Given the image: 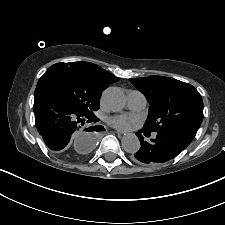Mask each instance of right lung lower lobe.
<instances>
[{
	"instance_id": "right-lung-lower-lobe-1",
	"label": "right lung lower lobe",
	"mask_w": 225,
	"mask_h": 225,
	"mask_svg": "<svg viewBox=\"0 0 225 225\" xmlns=\"http://www.w3.org/2000/svg\"><path fill=\"white\" fill-rule=\"evenodd\" d=\"M33 111L35 125L45 144L53 151L63 153L70 146L73 137L88 122H97V117H88L59 96L43 88H36ZM101 126L85 129L89 147L95 142V134ZM72 156H68L71 158Z\"/></svg>"
}]
</instances>
